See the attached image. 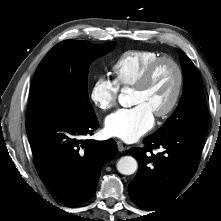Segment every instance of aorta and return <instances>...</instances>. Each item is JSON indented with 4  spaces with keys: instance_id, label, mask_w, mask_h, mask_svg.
Listing matches in <instances>:
<instances>
[{
    "instance_id": "obj_1",
    "label": "aorta",
    "mask_w": 221,
    "mask_h": 221,
    "mask_svg": "<svg viewBox=\"0 0 221 221\" xmlns=\"http://www.w3.org/2000/svg\"><path fill=\"white\" fill-rule=\"evenodd\" d=\"M123 98L124 96L121 94L119 96V102L123 104ZM117 170L124 175H131L135 173V171L138 168V163L136 159L132 156H124L121 157L117 164H116Z\"/></svg>"
}]
</instances>
